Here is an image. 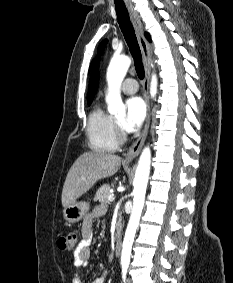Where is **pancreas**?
<instances>
[{
	"instance_id": "obj_1",
	"label": "pancreas",
	"mask_w": 233,
	"mask_h": 283,
	"mask_svg": "<svg viewBox=\"0 0 233 283\" xmlns=\"http://www.w3.org/2000/svg\"><path fill=\"white\" fill-rule=\"evenodd\" d=\"M112 186H110L109 184H104L102 185L96 192L95 198L97 200H99V202L102 203H107L108 200V196L111 194L110 189Z\"/></svg>"
}]
</instances>
